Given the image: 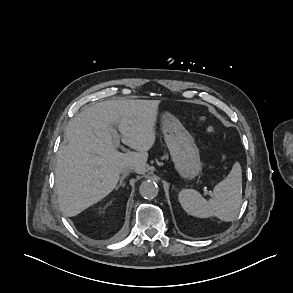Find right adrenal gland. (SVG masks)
<instances>
[{
  "label": "right adrenal gland",
  "instance_id": "right-adrenal-gland-1",
  "mask_svg": "<svg viewBox=\"0 0 293 293\" xmlns=\"http://www.w3.org/2000/svg\"><path fill=\"white\" fill-rule=\"evenodd\" d=\"M127 177V174H124L120 177V182L119 184L116 186L115 190H118L119 187H124L125 183H124V179Z\"/></svg>",
  "mask_w": 293,
  "mask_h": 293
}]
</instances>
